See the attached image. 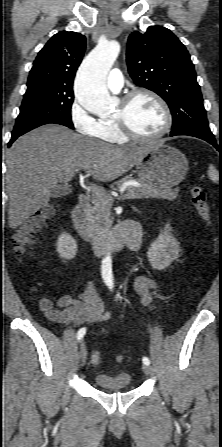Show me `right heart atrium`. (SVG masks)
Instances as JSON below:
<instances>
[{
	"label": "right heart atrium",
	"mask_w": 222,
	"mask_h": 447,
	"mask_svg": "<svg viewBox=\"0 0 222 447\" xmlns=\"http://www.w3.org/2000/svg\"><path fill=\"white\" fill-rule=\"evenodd\" d=\"M70 120L74 129L83 135H94L97 130V121L89 115L83 107L75 102L70 107Z\"/></svg>",
	"instance_id": "d8ad5b80"
}]
</instances>
